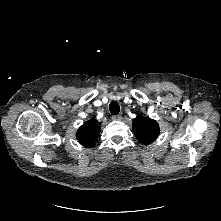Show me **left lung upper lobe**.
I'll return each mask as SVG.
<instances>
[{
  "instance_id": "5c2ea615",
  "label": "left lung upper lobe",
  "mask_w": 221,
  "mask_h": 221,
  "mask_svg": "<svg viewBox=\"0 0 221 221\" xmlns=\"http://www.w3.org/2000/svg\"><path fill=\"white\" fill-rule=\"evenodd\" d=\"M133 131L139 142L150 144L157 139L160 129L155 120L138 115L133 120Z\"/></svg>"
}]
</instances>
